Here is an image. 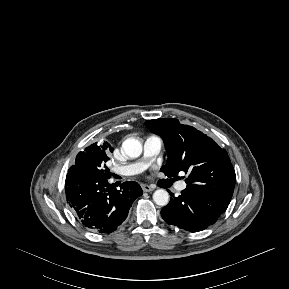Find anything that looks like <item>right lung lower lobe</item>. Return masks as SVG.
<instances>
[{
    "label": "right lung lower lobe",
    "instance_id": "right-lung-lower-lobe-1",
    "mask_svg": "<svg viewBox=\"0 0 289 289\" xmlns=\"http://www.w3.org/2000/svg\"><path fill=\"white\" fill-rule=\"evenodd\" d=\"M65 193L86 228L109 234L127 218L129 208L142 195V189L138 183L131 181L123 183L120 190H113L107 179L70 167Z\"/></svg>",
    "mask_w": 289,
    "mask_h": 289
}]
</instances>
